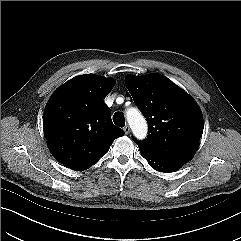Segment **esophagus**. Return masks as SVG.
<instances>
[{
    "instance_id": "obj_1",
    "label": "esophagus",
    "mask_w": 241,
    "mask_h": 241,
    "mask_svg": "<svg viewBox=\"0 0 241 241\" xmlns=\"http://www.w3.org/2000/svg\"><path fill=\"white\" fill-rule=\"evenodd\" d=\"M125 134H129L130 133V127L128 125H126L124 128H123Z\"/></svg>"
}]
</instances>
